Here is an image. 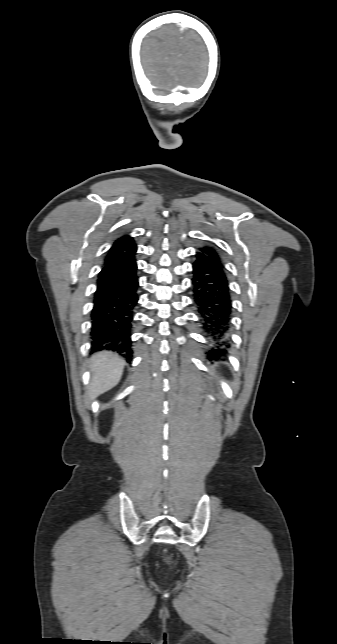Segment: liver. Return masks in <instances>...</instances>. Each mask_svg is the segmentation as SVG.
I'll return each instance as SVG.
<instances>
[{
  "label": "liver",
  "instance_id": "liver-1",
  "mask_svg": "<svg viewBox=\"0 0 337 644\" xmlns=\"http://www.w3.org/2000/svg\"><path fill=\"white\" fill-rule=\"evenodd\" d=\"M125 361L115 353L102 351L90 359L91 381L87 391L89 400L115 387L121 379Z\"/></svg>",
  "mask_w": 337,
  "mask_h": 644
}]
</instances>
